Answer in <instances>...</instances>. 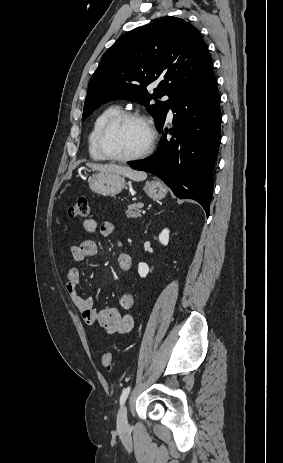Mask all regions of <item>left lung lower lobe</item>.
<instances>
[{
	"mask_svg": "<svg viewBox=\"0 0 283 463\" xmlns=\"http://www.w3.org/2000/svg\"><path fill=\"white\" fill-rule=\"evenodd\" d=\"M220 96L211 70L200 81L180 92L170 107L173 128L158 127L163 134L158 153L130 162L164 181L180 199H193L209 216L213 170L220 145ZM168 132L172 135L167 137Z\"/></svg>",
	"mask_w": 283,
	"mask_h": 463,
	"instance_id": "1",
	"label": "left lung lower lobe"
}]
</instances>
